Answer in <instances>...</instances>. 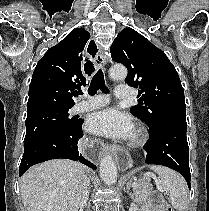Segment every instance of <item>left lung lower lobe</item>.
Here are the masks:
<instances>
[{
    "label": "left lung lower lobe",
    "instance_id": "1",
    "mask_svg": "<svg viewBox=\"0 0 209 211\" xmlns=\"http://www.w3.org/2000/svg\"><path fill=\"white\" fill-rule=\"evenodd\" d=\"M186 131V119L169 120L150 133L149 142L144 150L147 152V164L163 165L178 171L191 188Z\"/></svg>",
    "mask_w": 209,
    "mask_h": 211
}]
</instances>
